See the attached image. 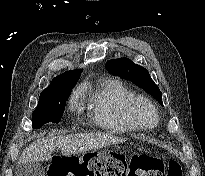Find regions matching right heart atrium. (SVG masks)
<instances>
[{"label":"right heart atrium","instance_id":"1","mask_svg":"<svg viewBox=\"0 0 205 176\" xmlns=\"http://www.w3.org/2000/svg\"><path fill=\"white\" fill-rule=\"evenodd\" d=\"M78 96H79L78 92H75V93L72 95V97H71V99H70V103H71V106H72V107H74V106L76 105L77 100H78Z\"/></svg>","mask_w":205,"mask_h":176}]
</instances>
